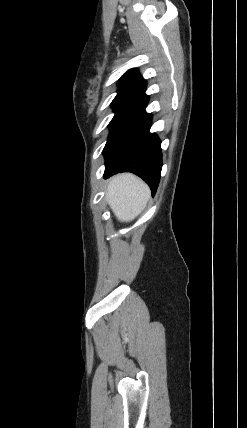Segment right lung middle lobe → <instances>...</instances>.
Masks as SVG:
<instances>
[{
	"label": "right lung middle lobe",
	"mask_w": 247,
	"mask_h": 428,
	"mask_svg": "<svg viewBox=\"0 0 247 428\" xmlns=\"http://www.w3.org/2000/svg\"><path fill=\"white\" fill-rule=\"evenodd\" d=\"M139 96L140 95L135 93L118 92L117 96L111 103L115 116L110 124Z\"/></svg>",
	"instance_id": "obj_1"
}]
</instances>
